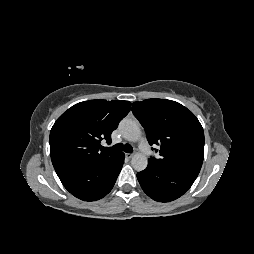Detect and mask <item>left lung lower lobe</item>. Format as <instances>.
I'll return each mask as SVG.
<instances>
[{
	"label": "left lung lower lobe",
	"mask_w": 254,
	"mask_h": 254,
	"mask_svg": "<svg viewBox=\"0 0 254 254\" xmlns=\"http://www.w3.org/2000/svg\"><path fill=\"white\" fill-rule=\"evenodd\" d=\"M197 176L193 172L162 167L150 160L147 168L137 173L143 191L159 202H169L182 196Z\"/></svg>",
	"instance_id": "1"
}]
</instances>
